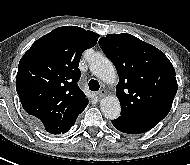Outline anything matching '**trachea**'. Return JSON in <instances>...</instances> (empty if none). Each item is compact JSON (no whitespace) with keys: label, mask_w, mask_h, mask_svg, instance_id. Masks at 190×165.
<instances>
[{"label":"trachea","mask_w":190,"mask_h":165,"mask_svg":"<svg viewBox=\"0 0 190 165\" xmlns=\"http://www.w3.org/2000/svg\"><path fill=\"white\" fill-rule=\"evenodd\" d=\"M99 88H100V85H99L98 81H96V80H94V79H91V80L89 81V89H90L91 91H98Z\"/></svg>","instance_id":"1"}]
</instances>
